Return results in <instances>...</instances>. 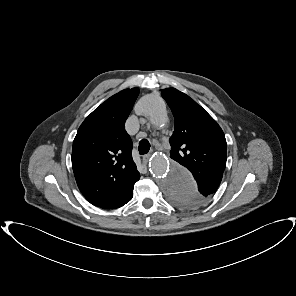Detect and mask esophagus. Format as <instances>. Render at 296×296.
<instances>
[{
  "mask_svg": "<svg viewBox=\"0 0 296 296\" xmlns=\"http://www.w3.org/2000/svg\"><path fill=\"white\" fill-rule=\"evenodd\" d=\"M150 154H146V155H144L143 157H142V161H143V163L144 164H147L148 163V161H149V159H150Z\"/></svg>",
  "mask_w": 296,
  "mask_h": 296,
  "instance_id": "obj_1",
  "label": "esophagus"
}]
</instances>
